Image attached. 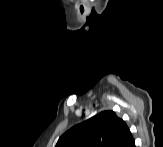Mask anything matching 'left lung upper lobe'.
I'll return each mask as SVG.
<instances>
[{"mask_svg":"<svg viewBox=\"0 0 163 147\" xmlns=\"http://www.w3.org/2000/svg\"><path fill=\"white\" fill-rule=\"evenodd\" d=\"M127 127L115 112L103 111L69 129L55 147H115Z\"/></svg>","mask_w":163,"mask_h":147,"instance_id":"5c2ea615","label":"left lung upper lobe"}]
</instances>
